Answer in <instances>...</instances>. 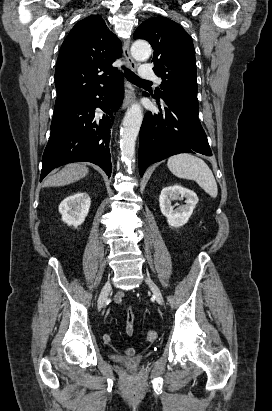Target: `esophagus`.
Segmentation results:
<instances>
[{"label": "esophagus", "instance_id": "1", "mask_svg": "<svg viewBox=\"0 0 272 411\" xmlns=\"http://www.w3.org/2000/svg\"><path fill=\"white\" fill-rule=\"evenodd\" d=\"M123 55L132 70H136L137 64L130 54V40L126 39L123 44ZM135 99L133 88L128 84L125 90V97L122 104V109L128 108Z\"/></svg>", "mask_w": 272, "mask_h": 411}]
</instances>
